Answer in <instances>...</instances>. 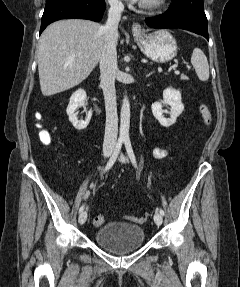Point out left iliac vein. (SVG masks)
<instances>
[{
    "label": "left iliac vein",
    "mask_w": 240,
    "mask_h": 287,
    "mask_svg": "<svg viewBox=\"0 0 240 287\" xmlns=\"http://www.w3.org/2000/svg\"><path fill=\"white\" fill-rule=\"evenodd\" d=\"M119 160H120V162H122V163H125V162H126V158H125L124 155H121L120 158H119ZM154 221H155L156 225H158V226L162 224V222H163V217H162V215H161L159 212H156V213L154 214Z\"/></svg>",
    "instance_id": "left-iliac-vein-1"
}]
</instances>
